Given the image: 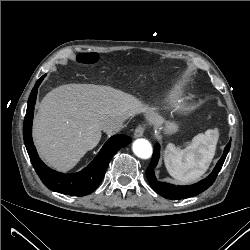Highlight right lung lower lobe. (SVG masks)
I'll use <instances>...</instances> for the list:
<instances>
[{
  "label": "right lung lower lobe",
  "instance_id": "98d812e1",
  "mask_svg": "<svg viewBox=\"0 0 250 250\" xmlns=\"http://www.w3.org/2000/svg\"><path fill=\"white\" fill-rule=\"evenodd\" d=\"M42 76L35 84L27 105L23 125V138L31 163L41 181L52 191L71 196H84L93 192L102 181L108 164L113 155L121 148L126 147L131 138L125 135L112 136L102 147L95 159L82 171L72 174L57 172L46 166L38 157L32 140V121L37 90L42 82Z\"/></svg>",
  "mask_w": 250,
  "mask_h": 250
}]
</instances>
